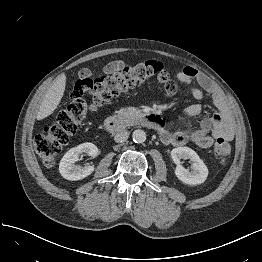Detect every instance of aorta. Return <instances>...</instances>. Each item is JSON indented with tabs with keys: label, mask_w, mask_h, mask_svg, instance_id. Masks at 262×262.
Masks as SVG:
<instances>
[{
	"label": "aorta",
	"mask_w": 262,
	"mask_h": 262,
	"mask_svg": "<svg viewBox=\"0 0 262 262\" xmlns=\"http://www.w3.org/2000/svg\"><path fill=\"white\" fill-rule=\"evenodd\" d=\"M132 138L135 143H143L146 140V133L141 129L134 130Z\"/></svg>",
	"instance_id": "aorta-1"
}]
</instances>
